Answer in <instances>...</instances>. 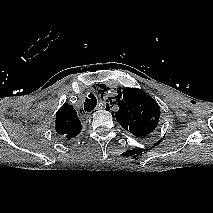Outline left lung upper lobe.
Listing matches in <instances>:
<instances>
[{
    "label": "left lung upper lobe",
    "instance_id": "left-lung-upper-lobe-1",
    "mask_svg": "<svg viewBox=\"0 0 213 213\" xmlns=\"http://www.w3.org/2000/svg\"><path fill=\"white\" fill-rule=\"evenodd\" d=\"M114 103L119 109L112 112L113 117L136 137L147 136L157 127L160 107L146 92L137 88L118 89Z\"/></svg>",
    "mask_w": 213,
    "mask_h": 213
}]
</instances>
